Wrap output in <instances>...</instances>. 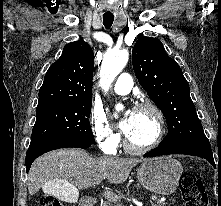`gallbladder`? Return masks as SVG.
Returning <instances> with one entry per match:
<instances>
[{
	"label": "gallbladder",
	"instance_id": "obj_1",
	"mask_svg": "<svg viewBox=\"0 0 221 206\" xmlns=\"http://www.w3.org/2000/svg\"><path fill=\"white\" fill-rule=\"evenodd\" d=\"M44 194H51V198H59V202H68L69 205H76L74 198H80L75 185H69V181H50L49 185H43Z\"/></svg>",
	"mask_w": 221,
	"mask_h": 206
}]
</instances>
